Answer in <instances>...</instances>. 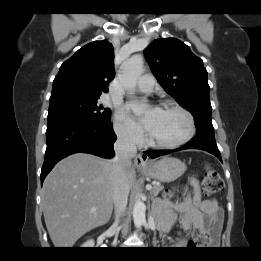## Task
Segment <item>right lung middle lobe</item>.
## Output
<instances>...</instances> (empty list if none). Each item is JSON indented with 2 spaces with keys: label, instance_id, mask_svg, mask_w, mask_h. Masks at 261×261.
<instances>
[{
  "label": "right lung middle lobe",
  "instance_id": "dd1d6c3e",
  "mask_svg": "<svg viewBox=\"0 0 261 261\" xmlns=\"http://www.w3.org/2000/svg\"><path fill=\"white\" fill-rule=\"evenodd\" d=\"M99 98L100 96L77 92L51 94L48 124L71 119L110 123L111 111L98 103Z\"/></svg>",
  "mask_w": 261,
  "mask_h": 261
}]
</instances>
